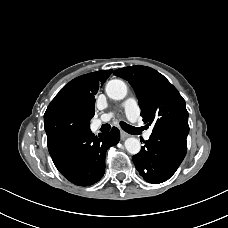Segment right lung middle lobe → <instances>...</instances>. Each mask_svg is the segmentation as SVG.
Returning a JSON list of instances; mask_svg holds the SVG:
<instances>
[{"label": "right lung middle lobe", "instance_id": "obj_1", "mask_svg": "<svg viewBox=\"0 0 228 228\" xmlns=\"http://www.w3.org/2000/svg\"><path fill=\"white\" fill-rule=\"evenodd\" d=\"M90 117L65 103L49 104L44 114L47 143L90 128Z\"/></svg>", "mask_w": 228, "mask_h": 228}]
</instances>
